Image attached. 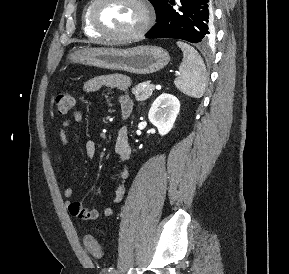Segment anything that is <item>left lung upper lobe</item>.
I'll return each mask as SVG.
<instances>
[{
  "instance_id": "obj_1",
  "label": "left lung upper lobe",
  "mask_w": 289,
  "mask_h": 274,
  "mask_svg": "<svg viewBox=\"0 0 289 274\" xmlns=\"http://www.w3.org/2000/svg\"><path fill=\"white\" fill-rule=\"evenodd\" d=\"M151 2V4L154 6L155 8V12H156V18L159 15L161 9L163 8V6L166 5L168 0H149Z\"/></svg>"
}]
</instances>
